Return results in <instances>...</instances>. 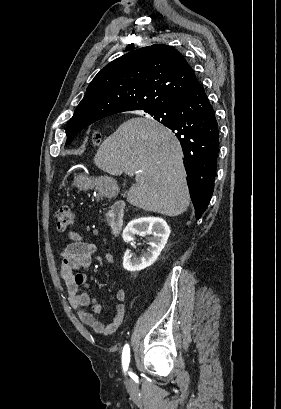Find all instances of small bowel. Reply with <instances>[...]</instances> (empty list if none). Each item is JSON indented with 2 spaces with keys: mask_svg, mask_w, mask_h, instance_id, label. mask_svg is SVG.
Listing matches in <instances>:
<instances>
[{
  "mask_svg": "<svg viewBox=\"0 0 281 409\" xmlns=\"http://www.w3.org/2000/svg\"><path fill=\"white\" fill-rule=\"evenodd\" d=\"M70 241L61 249V277L65 283L68 302L76 311L79 320L92 331L101 335H110L122 325L126 315V292L123 289L116 291L117 304L115 313L108 325H103L96 317L102 311V304L89 291H81L80 286L89 287V280L85 273H77L78 269L89 267L92 256L96 252V245L87 241L82 235L71 232ZM105 262L112 264V254L105 255ZM89 306L90 311L85 307Z\"/></svg>",
  "mask_w": 281,
  "mask_h": 409,
  "instance_id": "obj_1",
  "label": "small bowel"
}]
</instances>
